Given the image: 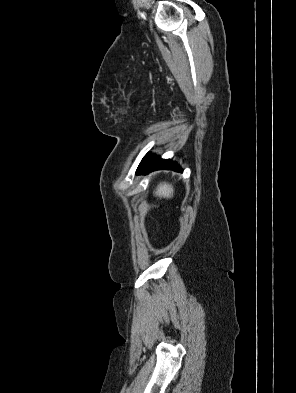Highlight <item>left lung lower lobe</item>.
I'll return each mask as SVG.
<instances>
[{
    "instance_id": "obj_1",
    "label": "left lung lower lobe",
    "mask_w": 296,
    "mask_h": 393,
    "mask_svg": "<svg viewBox=\"0 0 296 393\" xmlns=\"http://www.w3.org/2000/svg\"><path fill=\"white\" fill-rule=\"evenodd\" d=\"M157 169H172L182 172L181 168L169 160H162L155 155L147 154L139 164L136 174L149 173Z\"/></svg>"
}]
</instances>
